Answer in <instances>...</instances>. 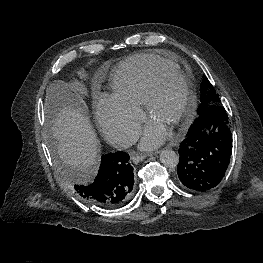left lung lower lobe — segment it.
Returning a JSON list of instances; mask_svg holds the SVG:
<instances>
[{
  "mask_svg": "<svg viewBox=\"0 0 263 263\" xmlns=\"http://www.w3.org/2000/svg\"><path fill=\"white\" fill-rule=\"evenodd\" d=\"M232 134L228 115L220 105L207 108L189 128L179 146L178 177L195 191L217 186L230 163Z\"/></svg>",
  "mask_w": 263,
  "mask_h": 263,
  "instance_id": "0a47b994",
  "label": "left lung lower lobe"
}]
</instances>
